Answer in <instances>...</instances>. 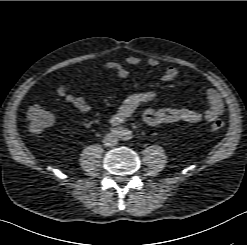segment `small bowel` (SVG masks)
<instances>
[{"mask_svg": "<svg viewBox=\"0 0 247 245\" xmlns=\"http://www.w3.org/2000/svg\"><path fill=\"white\" fill-rule=\"evenodd\" d=\"M140 62L139 57L129 56L125 64L136 66L140 64ZM147 63L150 67H157L159 65V61L155 58H149ZM125 64L119 61H107L104 63V67L114 71L119 78L126 79L129 76V71ZM178 74L177 68L168 67L162 75V80L172 82L177 79ZM57 93L67 104L74 106L80 113L87 114L91 110L88 101L84 97L70 93L67 85L59 86ZM158 98V93L151 90L135 92L128 95L111 116V123L117 125L125 122L141 105L153 102ZM205 98L209 107L203 112L186 107L148 108L143 113V120L150 126H160L176 122H213L223 113L224 104L219 93L213 88H208L205 91Z\"/></svg>", "mask_w": 247, "mask_h": 245, "instance_id": "obj_1", "label": "small bowel"}]
</instances>
